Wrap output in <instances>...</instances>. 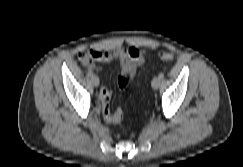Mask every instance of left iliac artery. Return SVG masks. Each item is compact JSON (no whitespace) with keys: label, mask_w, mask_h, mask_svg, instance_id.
<instances>
[{"label":"left iliac artery","mask_w":243,"mask_h":167,"mask_svg":"<svg viewBox=\"0 0 243 167\" xmlns=\"http://www.w3.org/2000/svg\"><path fill=\"white\" fill-rule=\"evenodd\" d=\"M158 77H159L160 79H163V78H164V74H163V73H160V74L158 75Z\"/></svg>","instance_id":"44dca946"}]
</instances>
